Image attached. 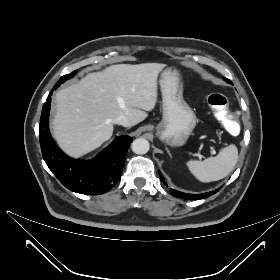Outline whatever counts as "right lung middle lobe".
<instances>
[{
    "instance_id": "right-lung-middle-lobe-1",
    "label": "right lung middle lobe",
    "mask_w": 280,
    "mask_h": 280,
    "mask_svg": "<svg viewBox=\"0 0 280 280\" xmlns=\"http://www.w3.org/2000/svg\"><path fill=\"white\" fill-rule=\"evenodd\" d=\"M76 73V71H73L70 74L64 75L60 78V80L56 83V85L54 87H58L60 84H62L63 82H65L67 79L71 78L74 74Z\"/></svg>"
}]
</instances>
